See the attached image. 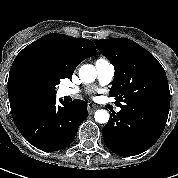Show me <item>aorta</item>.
<instances>
[{"instance_id":"obj_1","label":"aorta","mask_w":178,"mask_h":178,"mask_svg":"<svg viewBox=\"0 0 178 178\" xmlns=\"http://www.w3.org/2000/svg\"><path fill=\"white\" fill-rule=\"evenodd\" d=\"M96 69L93 65L86 64L79 69V77L81 81L91 83L96 79ZM109 113L104 109H99L95 112L94 118L96 122L100 124L107 123L109 121Z\"/></svg>"}]
</instances>
